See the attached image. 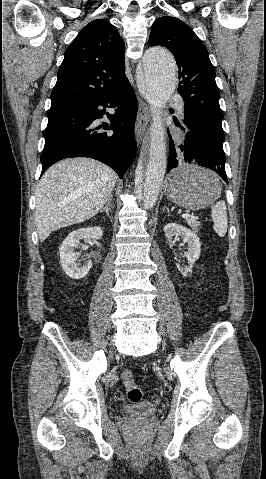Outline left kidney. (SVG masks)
<instances>
[{
  "label": "left kidney",
  "mask_w": 266,
  "mask_h": 479,
  "mask_svg": "<svg viewBox=\"0 0 266 479\" xmlns=\"http://www.w3.org/2000/svg\"><path fill=\"white\" fill-rule=\"evenodd\" d=\"M164 232L169 243L172 242L174 236H181L183 242L188 243V251L185 253L188 266L186 268H178L180 273L187 277L192 272L193 264L200 256L201 244L198 236L190 229L175 223L165 225Z\"/></svg>",
  "instance_id": "5707ae66"
}]
</instances>
